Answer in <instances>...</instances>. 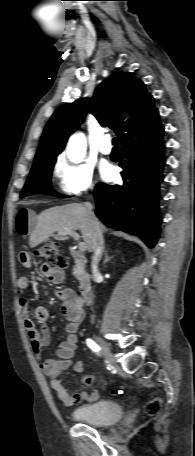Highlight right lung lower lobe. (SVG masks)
Masks as SVG:
<instances>
[{"label": "right lung lower lobe", "mask_w": 195, "mask_h": 456, "mask_svg": "<svg viewBox=\"0 0 195 456\" xmlns=\"http://www.w3.org/2000/svg\"><path fill=\"white\" fill-rule=\"evenodd\" d=\"M164 127L136 134L122 143V186L99 183L96 215L107 226L139 235L153 248L160 234L158 186L163 179Z\"/></svg>", "instance_id": "98d812e1"}]
</instances>
